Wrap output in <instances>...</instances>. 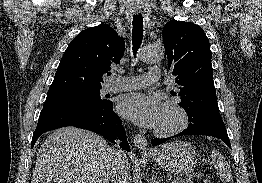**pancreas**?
I'll use <instances>...</instances> for the list:
<instances>
[{"mask_svg": "<svg viewBox=\"0 0 262 183\" xmlns=\"http://www.w3.org/2000/svg\"><path fill=\"white\" fill-rule=\"evenodd\" d=\"M177 183H193L192 180H178Z\"/></svg>", "mask_w": 262, "mask_h": 183, "instance_id": "cf45deb5", "label": "pancreas"}]
</instances>
